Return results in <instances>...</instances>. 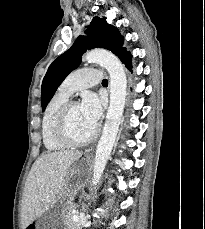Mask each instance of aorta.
I'll return each mask as SVG.
<instances>
[{
	"instance_id": "1",
	"label": "aorta",
	"mask_w": 205,
	"mask_h": 229,
	"mask_svg": "<svg viewBox=\"0 0 205 229\" xmlns=\"http://www.w3.org/2000/svg\"><path fill=\"white\" fill-rule=\"evenodd\" d=\"M84 60L101 64L110 76V104L95 153L91 182V186H96L102 176L117 137L124 111L127 78L120 60L107 50L93 49L85 54Z\"/></svg>"
}]
</instances>
